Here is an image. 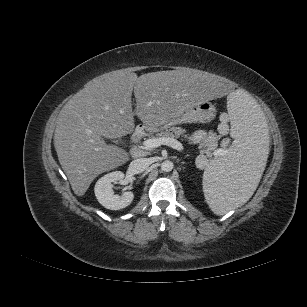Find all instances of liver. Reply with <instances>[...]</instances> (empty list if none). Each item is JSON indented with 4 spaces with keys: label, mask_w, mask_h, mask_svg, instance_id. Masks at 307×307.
Instances as JSON below:
<instances>
[{
    "label": "liver",
    "mask_w": 307,
    "mask_h": 307,
    "mask_svg": "<svg viewBox=\"0 0 307 307\" xmlns=\"http://www.w3.org/2000/svg\"><path fill=\"white\" fill-rule=\"evenodd\" d=\"M230 92L222 78L211 79L191 69L139 77L117 70L88 82L62 108L54 133L58 160L74 193L83 196L99 174L128 161L125 150L107 145L102 137L114 139L132 133L134 115L145 126L164 124L195 103H210Z\"/></svg>",
    "instance_id": "6515ba94"
}]
</instances>
